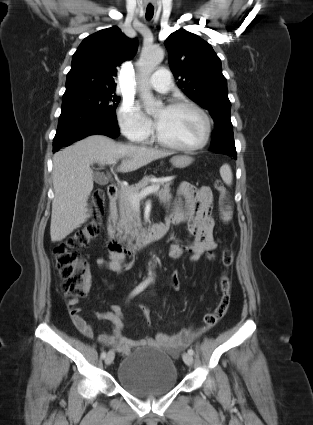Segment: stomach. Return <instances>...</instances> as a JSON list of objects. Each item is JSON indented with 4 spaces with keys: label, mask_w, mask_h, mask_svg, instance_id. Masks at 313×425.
<instances>
[{
    "label": "stomach",
    "mask_w": 313,
    "mask_h": 425,
    "mask_svg": "<svg viewBox=\"0 0 313 425\" xmlns=\"http://www.w3.org/2000/svg\"><path fill=\"white\" fill-rule=\"evenodd\" d=\"M171 163L175 168H185L193 162V158L188 155H176L171 158Z\"/></svg>",
    "instance_id": "stomach-1"
}]
</instances>
